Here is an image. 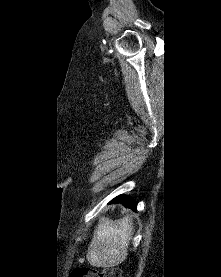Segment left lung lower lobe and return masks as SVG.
Segmentation results:
<instances>
[{"instance_id": "left-lung-lower-lobe-1", "label": "left lung lower lobe", "mask_w": 221, "mask_h": 277, "mask_svg": "<svg viewBox=\"0 0 221 277\" xmlns=\"http://www.w3.org/2000/svg\"><path fill=\"white\" fill-rule=\"evenodd\" d=\"M111 202L122 203L125 207L136 210L137 203L128 196L119 195L115 197Z\"/></svg>"}]
</instances>
